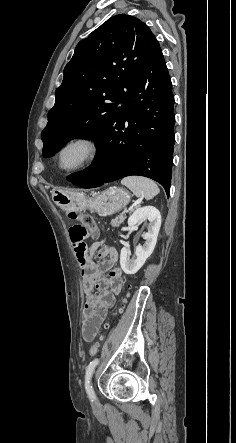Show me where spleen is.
Instances as JSON below:
<instances>
[{
	"mask_svg": "<svg viewBox=\"0 0 236 443\" xmlns=\"http://www.w3.org/2000/svg\"><path fill=\"white\" fill-rule=\"evenodd\" d=\"M121 184L128 187L135 196L152 199L159 194L160 190L157 184L142 176H128L121 180Z\"/></svg>",
	"mask_w": 236,
	"mask_h": 443,
	"instance_id": "3e777b00",
	"label": "spleen"
}]
</instances>
